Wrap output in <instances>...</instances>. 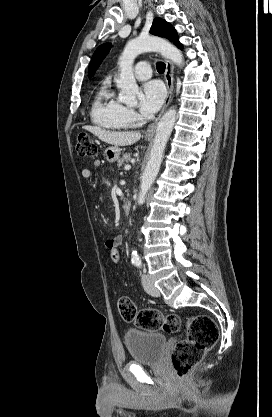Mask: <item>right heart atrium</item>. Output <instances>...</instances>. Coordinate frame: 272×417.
<instances>
[{"mask_svg":"<svg viewBox=\"0 0 272 417\" xmlns=\"http://www.w3.org/2000/svg\"><path fill=\"white\" fill-rule=\"evenodd\" d=\"M123 115L124 118L130 123L133 124L138 119V114L136 111L131 107L123 106Z\"/></svg>","mask_w":272,"mask_h":417,"instance_id":"right-heart-atrium-1","label":"right heart atrium"}]
</instances>
